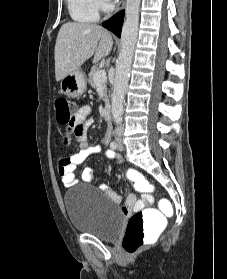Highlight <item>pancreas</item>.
I'll list each match as a JSON object with an SVG mask.
<instances>
[{
	"label": "pancreas",
	"mask_w": 227,
	"mask_h": 279,
	"mask_svg": "<svg viewBox=\"0 0 227 279\" xmlns=\"http://www.w3.org/2000/svg\"><path fill=\"white\" fill-rule=\"evenodd\" d=\"M99 71V68L97 66H93L91 69H90V72H89V82L92 86H96L97 85V82L94 80V76L96 74V72ZM107 81H103L101 82V85H102V88L105 92V98L107 99Z\"/></svg>",
	"instance_id": "obj_1"
}]
</instances>
